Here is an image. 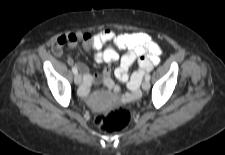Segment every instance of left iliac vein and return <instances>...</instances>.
<instances>
[{"instance_id": "4c4485c4", "label": "left iliac vein", "mask_w": 225, "mask_h": 155, "mask_svg": "<svg viewBox=\"0 0 225 155\" xmlns=\"http://www.w3.org/2000/svg\"><path fill=\"white\" fill-rule=\"evenodd\" d=\"M150 88V82L148 80L143 81L142 83V89L147 91Z\"/></svg>"}]
</instances>
